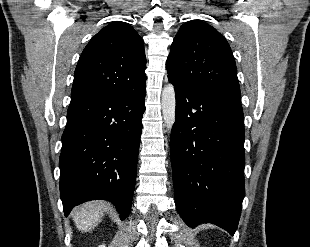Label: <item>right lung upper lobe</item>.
I'll list each match as a JSON object with an SVG mask.
<instances>
[{
    "mask_svg": "<svg viewBox=\"0 0 310 247\" xmlns=\"http://www.w3.org/2000/svg\"><path fill=\"white\" fill-rule=\"evenodd\" d=\"M142 38L132 26L113 22L83 50L74 73L71 102L135 92L146 85Z\"/></svg>",
    "mask_w": 310,
    "mask_h": 247,
    "instance_id": "cb5924a9",
    "label": "right lung upper lobe"
}]
</instances>
